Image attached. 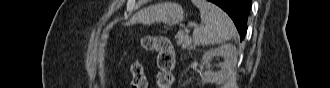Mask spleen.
<instances>
[{
    "mask_svg": "<svg viewBox=\"0 0 330 88\" xmlns=\"http://www.w3.org/2000/svg\"><path fill=\"white\" fill-rule=\"evenodd\" d=\"M193 4L199 9L201 21L205 24L193 31L196 44L214 45L236 37L235 26L222 9L206 0H193Z\"/></svg>",
    "mask_w": 330,
    "mask_h": 88,
    "instance_id": "obj_1",
    "label": "spleen"
}]
</instances>
